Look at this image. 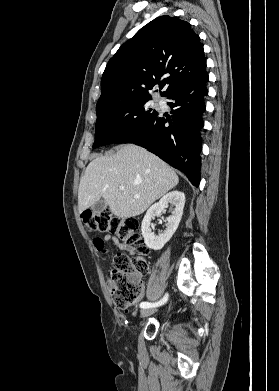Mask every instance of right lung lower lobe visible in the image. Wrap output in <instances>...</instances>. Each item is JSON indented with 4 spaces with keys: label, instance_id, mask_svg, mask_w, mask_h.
Returning a JSON list of instances; mask_svg holds the SVG:
<instances>
[{
    "label": "right lung lower lobe",
    "instance_id": "obj_1",
    "mask_svg": "<svg viewBox=\"0 0 279 391\" xmlns=\"http://www.w3.org/2000/svg\"><path fill=\"white\" fill-rule=\"evenodd\" d=\"M204 71L187 82L167 99L171 115L160 113L127 131L115 143H135L156 154L171 166L182 171L190 182L198 187L201 167L200 129L203 127L202 113L206 106V82Z\"/></svg>",
    "mask_w": 279,
    "mask_h": 391
}]
</instances>
